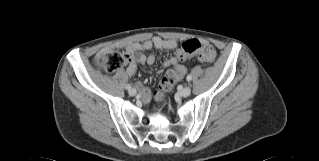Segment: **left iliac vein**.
<instances>
[{
  "label": "left iliac vein",
  "mask_w": 319,
  "mask_h": 161,
  "mask_svg": "<svg viewBox=\"0 0 319 161\" xmlns=\"http://www.w3.org/2000/svg\"><path fill=\"white\" fill-rule=\"evenodd\" d=\"M180 96L188 97L191 94V88L189 86H185L180 92Z\"/></svg>",
  "instance_id": "obj_1"
}]
</instances>
